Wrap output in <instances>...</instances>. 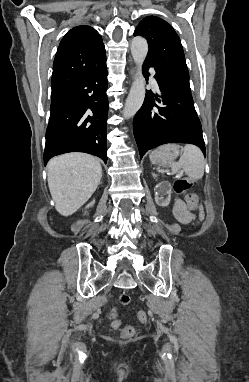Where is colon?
Wrapping results in <instances>:
<instances>
[{
	"label": "colon",
	"instance_id": "obj_1",
	"mask_svg": "<svg viewBox=\"0 0 249 382\" xmlns=\"http://www.w3.org/2000/svg\"><path fill=\"white\" fill-rule=\"evenodd\" d=\"M191 186V182L187 179H180L174 183V190L177 193H184L186 192ZM186 201L188 204V207L190 210L201 213L202 207L199 203V199L195 193H188L186 195ZM119 303L121 305H127L130 303V296L128 294H122L119 297ZM117 316V310L116 308L112 307L107 312V317L112 320V326L115 328L120 327V321L116 318ZM138 320L141 323L147 322V315L145 312L141 311L138 313ZM134 328L132 326H124L120 329V335L122 338L128 339L131 338L134 335Z\"/></svg>",
	"mask_w": 249,
	"mask_h": 382
}]
</instances>
